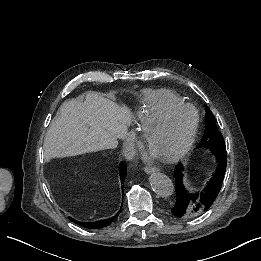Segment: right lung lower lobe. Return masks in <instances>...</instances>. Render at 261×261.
Instances as JSON below:
<instances>
[{
    "label": "right lung lower lobe",
    "mask_w": 261,
    "mask_h": 261,
    "mask_svg": "<svg viewBox=\"0 0 261 261\" xmlns=\"http://www.w3.org/2000/svg\"><path fill=\"white\" fill-rule=\"evenodd\" d=\"M119 173H120L121 184H123L125 177H126V173H127L126 165L123 162L120 163ZM120 212H121V209L119 210V212L115 216H112L109 219L95 221V222H78L77 220H75L71 217H69V219L71 221L75 222V223H79V225H81L84 228L101 229V228L106 227L109 224H111L119 216Z\"/></svg>",
    "instance_id": "98d812e1"
}]
</instances>
